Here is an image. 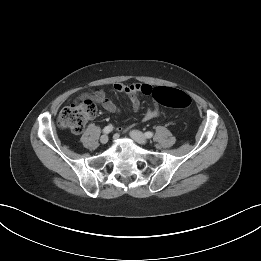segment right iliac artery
<instances>
[{
    "instance_id": "82829eb1",
    "label": "right iliac artery",
    "mask_w": 261,
    "mask_h": 261,
    "mask_svg": "<svg viewBox=\"0 0 261 261\" xmlns=\"http://www.w3.org/2000/svg\"><path fill=\"white\" fill-rule=\"evenodd\" d=\"M113 130V126L112 125H108L103 129V133L108 134Z\"/></svg>"
}]
</instances>
